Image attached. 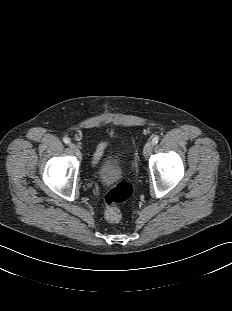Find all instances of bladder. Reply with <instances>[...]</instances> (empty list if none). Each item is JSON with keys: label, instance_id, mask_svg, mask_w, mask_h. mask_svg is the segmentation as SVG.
<instances>
[{"label": "bladder", "instance_id": "1", "mask_svg": "<svg viewBox=\"0 0 232 311\" xmlns=\"http://www.w3.org/2000/svg\"><path fill=\"white\" fill-rule=\"evenodd\" d=\"M120 175V162L116 154H113L109 156L101 165L99 170V178L104 185H110L114 183Z\"/></svg>", "mask_w": 232, "mask_h": 311}]
</instances>
